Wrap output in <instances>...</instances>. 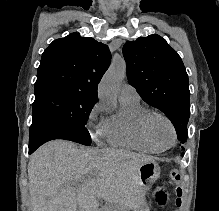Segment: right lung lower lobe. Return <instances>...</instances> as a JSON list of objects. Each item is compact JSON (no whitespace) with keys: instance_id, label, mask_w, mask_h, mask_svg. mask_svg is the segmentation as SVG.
I'll return each mask as SVG.
<instances>
[{"instance_id":"1","label":"right lung lower lobe","mask_w":219,"mask_h":211,"mask_svg":"<svg viewBox=\"0 0 219 211\" xmlns=\"http://www.w3.org/2000/svg\"><path fill=\"white\" fill-rule=\"evenodd\" d=\"M54 139L70 140L84 145L81 135L74 131L51 125H37L30 128L29 154L45 142Z\"/></svg>"}]
</instances>
